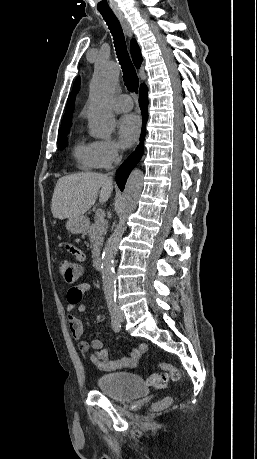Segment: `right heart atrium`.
<instances>
[{
  "mask_svg": "<svg viewBox=\"0 0 257 459\" xmlns=\"http://www.w3.org/2000/svg\"><path fill=\"white\" fill-rule=\"evenodd\" d=\"M91 147L97 168H109L120 158L121 146L114 140H95L91 143Z\"/></svg>",
  "mask_w": 257,
  "mask_h": 459,
  "instance_id": "right-heart-atrium-1",
  "label": "right heart atrium"
}]
</instances>
